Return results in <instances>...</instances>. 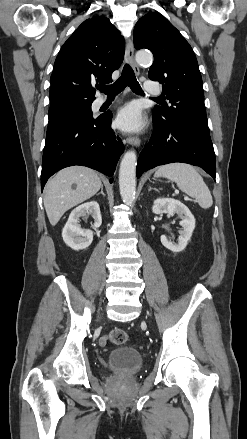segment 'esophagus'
I'll list each match as a JSON object with an SVG mask.
<instances>
[{"mask_svg": "<svg viewBox=\"0 0 247 439\" xmlns=\"http://www.w3.org/2000/svg\"><path fill=\"white\" fill-rule=\"evenodd\" d=\"M125 61L131 65L136 74H139V67L134 60V45L132 39L126 41ZM126 142L136 147L140 146V139L138 137L128 136Z\"/></svg>", "mask_w": 247, "mask_h": 439, "instance_id": "esophagus-1", "label": "esophagus"}]
</instances>
